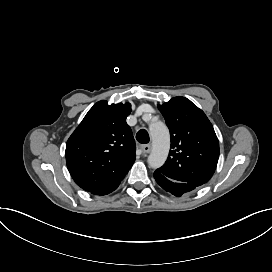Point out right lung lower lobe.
Instances as JSON below:
<instances>
[{
  "instance_id": "obj_1",
  "label": "right lung lower lobe",
  "mask_w": 272,
  "mask_h": 272,
  "mask_svg": "<svg viewBox=\"0 0 272 272\" xmlns=\"http://www.w3.org/2000/svg\"><path fill=\"white\" fill-rule=\"evenodd\" d=\"M119 184L116 185V186H114V187H112V188H110V189H108V190H106V191H103V192H100V193H96L95 195H106V194H109V193L113 192L119 186Z\"/></svg>"
}]
</instances>
